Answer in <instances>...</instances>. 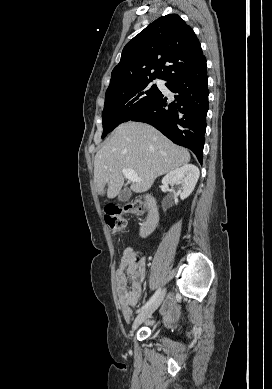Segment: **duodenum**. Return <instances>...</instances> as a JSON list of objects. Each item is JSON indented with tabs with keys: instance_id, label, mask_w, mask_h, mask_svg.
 <instances>
[{
	"instance_id": "1",
	"label": "duodenum",
	"mask_w": 272,
	"mask_h": 389,
	"mask_svg": "<svg viewBox=\"0 0 272 389\" xmlns=\"http://www.w3.org/2000/svg\"><path fill=\"white\" fill-rule=\"evenodd\" d=\"M143 199L149 208V214L141 226V235L145 237L155 229L158 221V211L156 208L155 200L151 195L144 194Z\"/></svg>"
}]
</instances>
